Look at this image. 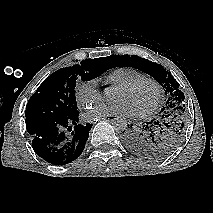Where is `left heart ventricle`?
<instances>
[{
	"label": "left heart ventricle",
	"instance_id": "1",
	"mask_svg": "<svg viewBox=\"0 0 213 213\" xmlns=\"http://www.w3.org/2000/svg\"><path fill=\"white\" fill-rule=\"evenodd\" d=\"M113 100L127 103L133 112H141L153 104L155 100V89L148 83L131 90L116 89Z\"/></svg>",
	"mask_w": 213,
	"mask_h": 213
}]
</instances>
